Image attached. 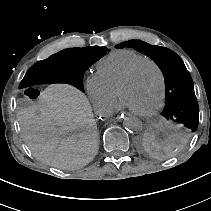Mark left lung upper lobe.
<instances>
[{
    "instance_id": "left-lung-upper-lobe-1",
    "label": "left lung upper lobe",
    "mask_w": 211,
    "mask_h": 211,
    "mask_svg": "<svg viewBox=\"0 0 211 211\" xmlns=\"http://www.w3.org/2000/svg\"><path fill=\"white\" fill-rule=\"evenodd\" d=\"M132 47L150 57L161 69L165 79L166 104L162 116L181 124L186 135L198 127L199 107L194 83L182 59L172 50L140 40L118 44L116 48Z\"/></svg>"
}]
</instances>
